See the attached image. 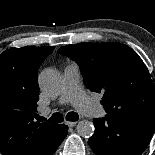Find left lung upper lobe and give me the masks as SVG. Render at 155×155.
<instances>
[{"label":"left lung upper lobe","instance_id":"obj_1","mask_svg":"<svg viewBox=\"0 0 155 155\" xmlns=\"http://www.w3.org/2000/svg\"><path fill=\"white\" fill-rule=\"evenodd\" d=\"M59 53L80 66L85 85L102 93L101 104L112 116H155V88L142 59L120 43H79Z\"/></svg>","mask_w":155,"mask_h":155}]
</instances>
